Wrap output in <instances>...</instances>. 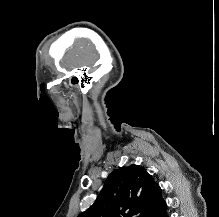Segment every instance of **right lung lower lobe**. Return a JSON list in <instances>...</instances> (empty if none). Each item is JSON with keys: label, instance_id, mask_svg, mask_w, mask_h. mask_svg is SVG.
Returning a JSON list of instances; mask_svg holds the SVG:
<instances>
[{"label": "right lung lower lobe", "instance_id": "right-lung-lower-lobe-1", "mask_svg": "<svg viewBox=\"0 0 219 217\" xmlns=\"http://www.w3.org/2000/svg\"><path fill=\"white\" fill-rule=\"evenodd\" d=\"M159 217H167V215H166V209L164 210V212H163L161 215H159Z\"/></svg>", "mask_w": 219, "mask_h": 217}]
</instances>
